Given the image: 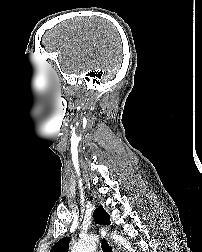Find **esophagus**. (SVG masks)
Wrapping results in <instances>:
<instances>
[{
    "label": "esophagus",
    "instance_id": "34e87169",
    "mask_svg": "<svg viewBox=\"0 0 202 252\" xmlns=\"http://www.w3.org/2000/svg\"><path fill=\"white\" fill-rule=\"evenodd\" d=\"M99 234H100V247H101V252H117L114 249L113 244L109 240L108 237V230L105 226H100L99 227Z\"/></svg>",
    "mask_w": 202,
    "mask_h": 252
}]
</instances>
